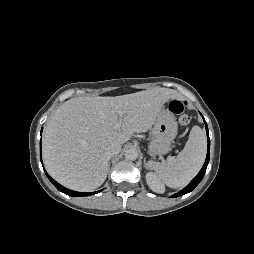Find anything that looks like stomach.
Wrapping results in <instances>:
<instances>
[{"label":"stomach","mask_w":254,"mask_h":254,"mask_svg":"<svg viewBox=\"0 0 254 254\" xmlns=\"http://www.w3.org/2000/svg\"><path fill=\"white\" fill-rule=\"evenodd\" d=\"M178 124L174 115L167 109H162L157 115L152 128V138L149 151L153 155H164L171 150V144L176 137Z\"/></svg>","instance_id":"stomach-1"}]
</instances>
